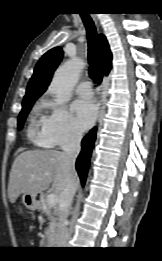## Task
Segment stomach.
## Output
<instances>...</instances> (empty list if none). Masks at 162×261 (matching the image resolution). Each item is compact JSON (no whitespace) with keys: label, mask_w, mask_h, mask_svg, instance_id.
I'll return each instance as SVG.
<instances>
[{"label":"stomach","mask_w":162,"mask_h":261,"mask_svg":"<svg viewBox=\"0 0 162 261\" xmlns=\"http://www.w3.org/2000/svg\"><path fill=\"white\" fill-rule=\"evenodd\" d=\"M22 202L25 207L29 210H35L39 207V201L36 199V196L31 194H23Z\"/></svg>","instance_id":"obj_1"}]
</instances>
